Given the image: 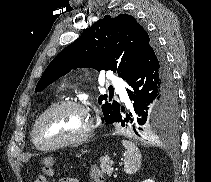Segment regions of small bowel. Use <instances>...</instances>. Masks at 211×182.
I'll return each mask as SVG.
<instances>
[{
	"label": "small bowel",
	"mask_w": 211,
	"mask_h": 182,
	"mask_svg": "<svg viewBox=\"0 0 211 182\" xmlns=\"http://www.w3.org/2000/svg\"><path fill=\"white\" fill-rule=\"evenodd\" d=\"M59 182H78V181L73 178H65V179L60 180Z\"/></svg>",
	"instance_id": "small-bowel-1"
}]
</instances>
